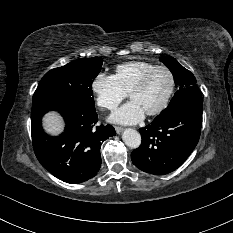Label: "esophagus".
<instances>
[{
	"instance_id": "1",
	"label": "esophagus",
	"mask_w": 233,
	"mask_h": 233,
	"mask_svg": "<svg viewBox=\"0 0 233 233\" xmlns=\"http://www.w3.org/2000/svg\"><path fill=\"white\" fill-rule=\"evenodd\" d=\"M115 130L117 134H120L123 131V128L120 126H115Z\"/></svg>"
}]
</instances>
